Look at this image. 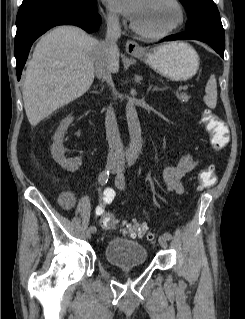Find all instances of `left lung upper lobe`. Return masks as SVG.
<instances>
[{
	"mask_svg": "<svg viewBox=\"0 0 245 319\" xmlns=\"http://www.w3.org/2000/svg\"><path fill=\"white\" fill-rule=\"evenodd\" d=\"M188 14L187 32L202 31L225 40L220 14L213 0H180Z\"/></svg>",
	"mask_w": 245,
	"mask_h": 319,
	"instance_id": "5c2ea615",
	"label": "left lung upper lobe"
}]
</instances>
